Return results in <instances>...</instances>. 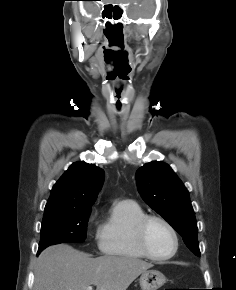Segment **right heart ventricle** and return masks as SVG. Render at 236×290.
Segmentation results:
<instances>
[{"label":"right heart ventricle","instance_id":"e07e8e85","mask_svg":"<svg viewBox=\"0 0 236 290\" xmlns=\"http://www.w3.org/2000/svg\"><path fill=\"white\" fill-rule=\"evenodd\" d=\"M145 215L144 209L135 201L116 202L98 231L101 252L125 259L146 258L140 251L135 236V226Z\"/></svg>","mask_w":236,"mask_h":290}]
</instances>
